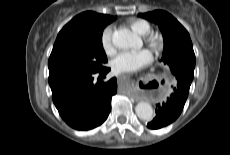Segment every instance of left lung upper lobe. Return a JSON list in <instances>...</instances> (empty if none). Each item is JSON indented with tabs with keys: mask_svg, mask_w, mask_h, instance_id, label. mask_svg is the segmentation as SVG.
<instances>
[{
	"mask_svg": "<svg viewBox=\"0 0 230 155\" xmlns=\"http://www.w3.org/2000/svg\"><path fill=\"white\" fill-rule=\"evenodd\" d=\"M139 16L158 24L164 39L162 61L169 65L176 79L183 78L192 82L195 54L187 30L163 10L140 13Z\"/></svg>",
	"mask_w": 230,
	"mask_h": 155,
	"instance_id": "5c2ea615",
	"label": "left lung upper lobe"
}]
</instances>
